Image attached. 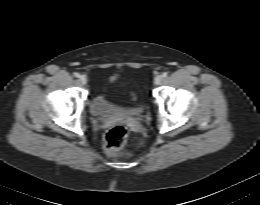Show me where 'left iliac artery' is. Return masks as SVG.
Listing matches in <instances>:
<instances>
[{"label": "left iliac artery", "mask_w": 260, "mask_h": 205, "mask_svg": "<svg viewBox=\"0 0 260 205\" xmlns=\"http://www.w3.org/2000/svg\"><path fill=\"white\" fill-rule=\"evenodd\" d=\"M162 76H163V77H167V76H168V73H167V72H164V73L162 74Z\"/></svg>", "instance_id": "left-iliac-artery-1"}]
</instances>
